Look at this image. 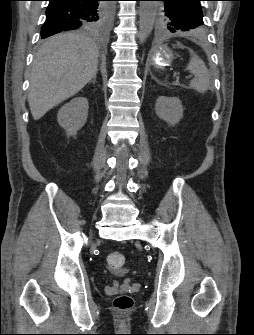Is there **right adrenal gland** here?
I'll return each instance as SVG.
<instances>
[{
  "mask_svg": "<svg viewBox=\"0 0 254 335\" xmlns=\"http://www.w3.org/2000/svg\"><path fill=\"white\" fill-rule=\"evenodd\" d=\"M96 82V75L93 77L92 83L94 84Z\"/></svg>",
  "mask_w": 254,
  "mask_h": 335,
  "instance_id": "obj_1",
  "label": "right adrenal gland"
}]
</instances>
